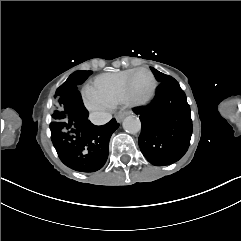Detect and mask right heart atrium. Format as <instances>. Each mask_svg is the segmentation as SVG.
I'll list each match as a JSON object with an SVG mask.
<instances>
[{"label": "right heart atrium", "mask_w": 241, "mask_h": 241, "mask_svg": "<svg viewBox=\"0 0 241 241\" xmlns=\"http://www.w3.org/2000/svg\"><path fill=\"white\" fill-rule=\"evenodd\" d=\"M83 102L85 106L92 112L105 113L108 112L111 106L104 100L97 97H90L83 94Z\"/></svg>", "instance_id": "d8ad5b80"}]
</instances>
